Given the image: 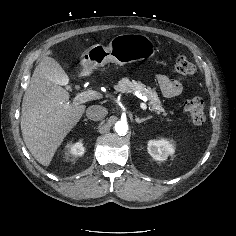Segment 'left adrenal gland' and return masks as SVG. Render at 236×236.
Returning <instances> with one entry per match:
<instances>
[{"instance_id":"left-adrenal-gland-1","label":"left adrenal gland","mask_w":236,"mask_h":236,"mask_svg":"<svg viewBox=\"0 0 236 236\" xmlns=\"http://www.w3.org/2000/svg\"><path fill=\"white\" fill-rule=\"evenodd\" d=\"M151 118H152L151 116H148V117H146V118H141V119H139L138 117H136V118H135V121H136L138 124H140V123L145 122V121H147V120H149V119H151Z\"/></svg>"}]
</instances>
